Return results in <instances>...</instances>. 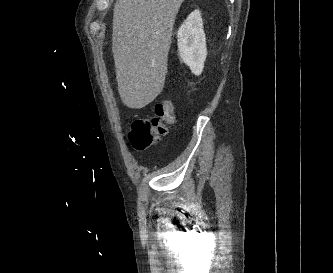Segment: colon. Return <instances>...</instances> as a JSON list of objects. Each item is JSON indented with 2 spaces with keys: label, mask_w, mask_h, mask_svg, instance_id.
I'll use <instances>...</instances> for the list:
<instances>
[{
  "label": "colon",
  "mask_w": 333,
  "mask_h": 273,
  "mask_svg": "<svg viewBox=\"0 0 333 273\" xmlns=\"http://www.w3.org/2000/svg\"><path fill=\"white\" fill-rule=\"evenodd\" d=\"M174 106L171 100L162 99L154 108L150 118L134 120L128 133V138L136 150L151 147L157 139L164 135L174 122Z\"/></svg>",
  "instance_id": "5ec220e1"
}]
</instances>
